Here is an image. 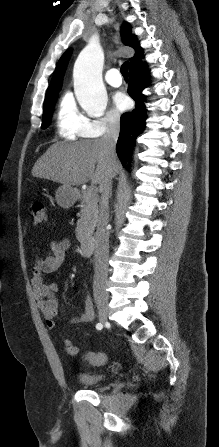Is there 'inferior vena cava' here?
<instances>
[{
  "label": "inferior vena cava",
  "instance_id": "1",
  "mask_svg": "<svg viewBox=\"0 0 219 447\" xmlns=\"http://www.w3.org/2000/svg\"><path fill=\"white\" fill-rule=\"evenodd\" d=\"M119 136V120L115 118L109 121L107 130L102 137L104 151L111 166L116 158V143ZM101 193L100 213L97 221L95 233V274H94V298L98 300L105 295V283L108 277V257H109V232L107 230L109 218V197L111 192V176L109 175L99 186Z\"/></svg>",
  "mask_w": 219,
  "mask_h": 447
}]
</instances>
